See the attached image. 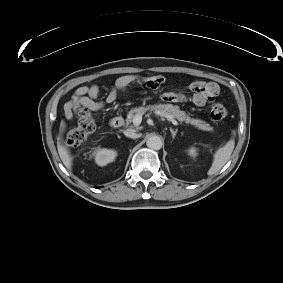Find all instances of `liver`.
<instances>
[{
	"label": "liver",
	"mask_w": 283,
	"mask_h": 283,
	"mask_svg": "<svg viewBox=\"0 0 283 283\" xmlns=\"http://www.w3.org/2000/svg\"><path fill=\"white\" fill-rule=\"evenodd\" d=\"M65 130V122L61 121L60 124V132H59V137H58V142H57V148H58V153L59 156L65 165L67 169H71L72 167V156L68 150V147L62 144V134Z\"/></svg>",
	"instance_id": "6515ba94"
}]
</instances>
